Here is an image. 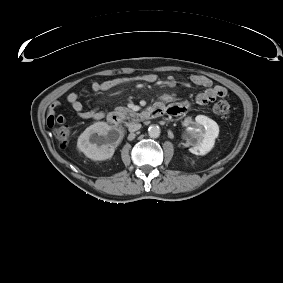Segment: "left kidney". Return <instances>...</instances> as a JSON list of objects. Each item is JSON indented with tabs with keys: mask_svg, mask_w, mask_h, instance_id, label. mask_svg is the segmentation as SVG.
<instances>
[{
	"mask_svg": "<svg viewBox=\"0 0 283 283\" xmlns=\"http://www.w3.org/2000/svg\"><path fill=\"white\" fill-rule=\"evenodd\" d=\"M196 127H189L187 132L189 151L195 155H205L212 150L215 139L219 134L218 124L205 115H198L195 118Z\"/></svg>",
	"mask_w": 283,
	"mask_h": 283,
	"instance_id": "1",
	"label": "left kidney"
}]
</instances>
